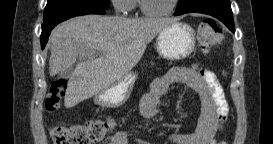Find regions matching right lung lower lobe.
<instances>
[{
  "label": "right lung lower lobe",
  "instance_id": "1",
  "mask_svg": "<svg viewBox=\"0 0 273 144\" xmlns=\"http://www.w3.org/2000/svg\"><path fill=\"white\" fill-rule=\"evenodd\" d=\"M106 9L96 5H70L60 7L53 11L49 17L43 21L41 33V48L44 49L51 30L60 22L69 18L87 14H105Z\"/></svg>",
  "mask_w": 273,
  "mask_h": 144
}]
</instances>
